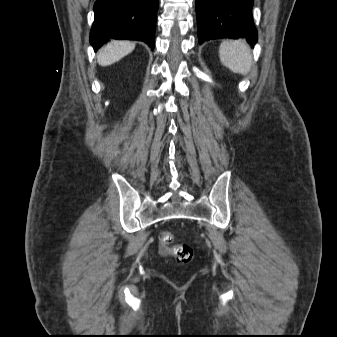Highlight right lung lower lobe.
I'll use <instances>...</instances> for the list:
<instances>
[{"mask_svg": "<svg viewBox=\"0 0 337 337\" xmlns=\"http://www.w3.org/2000/svg\"><path fill=\"white\" fill-rule=\"evenodd\" d=\"M158 0H97L90 43L96 51L111 39H132L154 49Z\"/></svg>", "mask_w": 337, "mask_h": 337, "instance_id": "obj_1", "label": "right lung lower lobe"}]
</instances>
